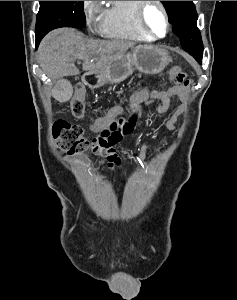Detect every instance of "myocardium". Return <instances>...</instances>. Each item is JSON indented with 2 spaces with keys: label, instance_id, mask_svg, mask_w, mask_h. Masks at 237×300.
<instances>
[{
  "label": "myocardium",
  "instance_id": "obj_1",
  "mask_svg": "<svg viewBox=\"0 0 237 300\" xmlns=\"http://www.w3.org/2000/svg\"><path fill=\"white\" fill-rule=\"evenodd\" d=\"M151 5H155L157 6L162 15H163V18H164V22H165V26H166V29H165V32L163 35H159L157 34L148 24L147 22V18H146V15H147V11L149 9V7ZM138 18H139V21H140V24L142 25V27L144 28V30L151 36L155 37V38H164L168 35V33L170 32L171 30V22H170V18H169V13H168V10L166 8V6L164 5V3L162 1H141V4L139 5V8H138Z\"/></svg>",
  "mask_w": 237,
  "mask_h": 300
}]
</instances>
